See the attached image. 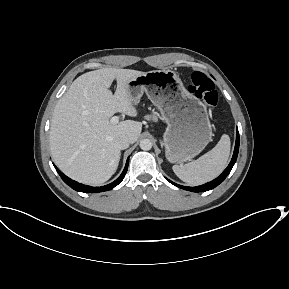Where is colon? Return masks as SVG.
<instances>
[{"label": "colon", "instance_id": "colon-1", "mask_svg": "<svg viewBox=\"0 0 289 289\" xmlns=\"http://www.w3.org/2000/svg\"><path fill=\"white\" fill-rule=\"evenodd\" d=\"M188 90L196 97L202 99L209 110L217 105L218 94L212 80L202 72H193L189 76Z\"/></svg>", "mask_w": 289, "mask_h": 289}]
</instances>
